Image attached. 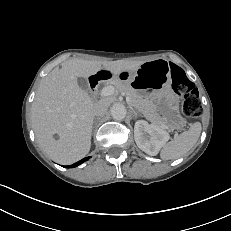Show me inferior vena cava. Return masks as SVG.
Instances as JSON below:
<instances>
[{
	"instance_id": "1",
	"label": "inferior vena cava",
	"mask_w": 231,
	"mask_h": 231,
	"mask_svg": "<svg viewBox=\"0 0 231 231\" xmlns=\"http://www.w3.org/2000/svg\"><path fill=\"white\" fill-rule=\"evenodd\" d=\"M108 110V105L103 101H97L94 105V115L95 116H103L106 114Z\"/></svg>"
}]
</instances>
